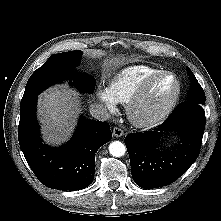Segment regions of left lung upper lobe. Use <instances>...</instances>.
<instances>
[{"instance_id":"5c2ea615","label":"left lung upper lobe","mask_w":221,"mask_h":221,"mask_svg":"<svg viewBox=\"0 0 221 221\" xmlns=\"http://www.w3.org/2000/svg\"><path fill=\"white\" fill-rule=\"evenodd\" d=\"M187 71L190 76L189 78L191 81V87L188 92V99L186 101H188L190 103L199 104L202 106L205 104L204 91H203L202 87L200 86V84L198 83V81H197L196 77L194 76V74L192 73V71L189 68L187 69Z\"/></svg>"}]
</instances>
